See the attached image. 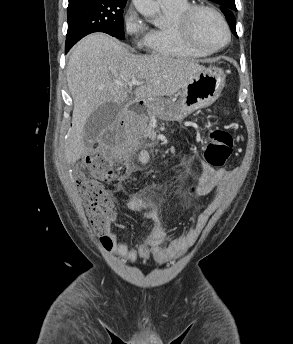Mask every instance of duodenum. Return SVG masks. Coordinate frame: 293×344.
Wrapping results in <instances>:
<instances>
[{
  "label": "duodenum",
  "instance_id": "obj_1",
  "mask_svg": "<svg viewBox=\"0 0 293 344\" xmlns=\"http://www.w3.org/2000/svg\"><path fill=\"white\" fill-rule=\"evenodd\" d=\"M138 109H142V108H138ZM135 109L132 108L131 106H128L126 109H125V112H124V115L121 119V125H124L127 121V118L128 116L134 111Z\"/></svg>",
  "mask_w": 293,
  "mask_h": 344
}]
</instances>
